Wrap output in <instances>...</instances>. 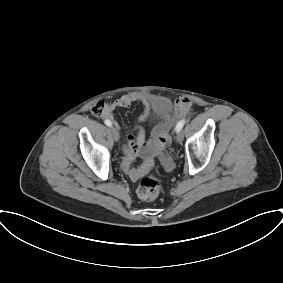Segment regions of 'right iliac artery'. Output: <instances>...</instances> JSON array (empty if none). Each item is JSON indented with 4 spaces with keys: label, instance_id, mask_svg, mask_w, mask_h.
Returning <instances> with one entry per match:
<instances>
[{
    "label": "right iliac artery",
    "instance_id": "obj_1",
    "mask_svg": "<svg viewBox=\"0 0 283 283\" xmlns=\"http://www.w3.org/2000/svg\"><path fill=\"white\" fill-rule=\"evenodd\" d=\"M104 123H105L107 126H109V127L112 126V123H111L110 120H105Z\"/></svg>",
    "mask_w": 283,
    "mask_h": 283
}]
</instances>
